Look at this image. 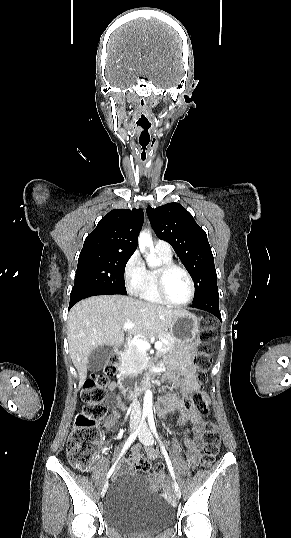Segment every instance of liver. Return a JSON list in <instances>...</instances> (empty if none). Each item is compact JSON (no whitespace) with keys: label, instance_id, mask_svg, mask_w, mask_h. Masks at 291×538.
I'll return each instance as SVG.
<instances>
[{"label":"liver","instance_id":"obj_1","mask_svg":"<svg viewBox=\"0 0 291 538\" xmlns=\"http://www.w3.org/2000/svg\"><path fill=\"white\" fill-rule=\"evenodd\" d=\"M184 312L122 295L94 296L78 302L68 314L67 338L79 388L86 380L90 353L103 345L120 346L125 323L135 324L127 330L130 335L149 337L169 328Z\"/></svg>","mask_w":291,"mask_h":538}]
</instances>
